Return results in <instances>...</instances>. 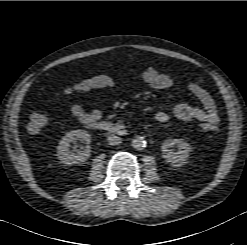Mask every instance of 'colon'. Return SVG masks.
<instances>
[{
	"instance_id": "obj_1",
	"label": "colon",
	"mask_w": 247,
	"mask_h": 245,
	"mask_svg": "<svg viewBox=\"0 0 247 245\" xmlns=\"http://www.w3.org/2000/svg\"><path fill=\"white\" fill-rule=\"evenodd\" d=\"M111 80V76L108 74L102 73L91 76L87 79L81 80L68 88L63 90L64 94H79L88 92L95 89H102L106 88L109 85ZM47 117L45 114L40 112H34L30 115L29 122H28V130L31 133H38L46 124ZM200 127L209 132H215L218 130L216 125H213L208 122H201Z\"/></svg>"
}]
</instances>
